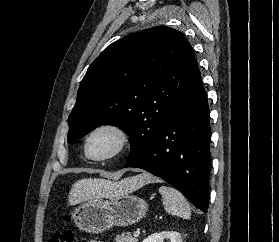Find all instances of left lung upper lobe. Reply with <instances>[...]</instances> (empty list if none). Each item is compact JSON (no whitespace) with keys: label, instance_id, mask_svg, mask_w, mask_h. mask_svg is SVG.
Listing matches in <instances>:
<instances>
[{"label":"left lung upper lobe","instance_id":"1","mask_svg":"<svg viewBox=\"0 0 279 242\" xmlns=\"http://www.w3.org/2000/svg\"><path fill=\"white\" fill-rule=\"evenodd\" d=\"M197 68L180 31L158 26L109 45L89 66L68 118V142L103 124L131 137L128 160L162 131Z\"/></svg>","mask_w":279,"mask_h":242}]
</instances>
